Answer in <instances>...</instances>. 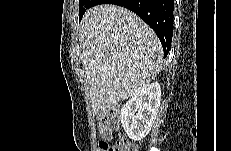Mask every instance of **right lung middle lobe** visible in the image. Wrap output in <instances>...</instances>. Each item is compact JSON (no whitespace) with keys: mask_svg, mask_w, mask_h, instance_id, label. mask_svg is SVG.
I'll use <instances>...</instances> for the list:
<instances>
[{"mask_svg":"<svg viewBox=\"0 0 231 151\" xmlns=\"http://www.w3.org/2000/svg\"><path fill=\"white\" fill-rule=\"evenodd\" d=\"M90 2L91 1H88V0H80L79 1V6H80L79 17H80V19L84 15L85 11L91 7Z\"/></svg>","mask_w":231,"mask_h":151,"instance_id":"dd1d6c3e","label":"right lung middle lobe"}]
</instances>
